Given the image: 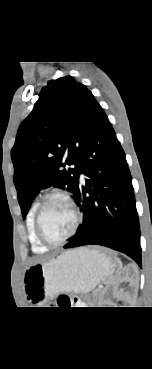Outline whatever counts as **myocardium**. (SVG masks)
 I'll return each mask as SVG.
<instances>
[{
    "instance_id": "1",
    "label": "myocardium",
    "mask_w": 152,
    "mask_h": 369,
    "mask_svg": "<svg viewBox=\"0 0 152 369\" xmlns=\"http://www.w3.org/2000/svg\"><path fill=\"white\" fill-rule=\"evenodd\" d=\"M53 199H61L63 201H65L72 209L73 213H74V225L72 230L70 231V233L68 235H66L65 237H63L60 240L57 241H51L49 240L43 230H42V226H41V218H42V214L43 211L45 209V207L48 205V203L53 200ZM82 223V213L79 209V207L77 206L76 202L74 201V199L67 193L65 192H52L48 195H46L44 197V199L41 201V203L38 205L36 214H35V232L37 235L38 240L45 245L46 247H57L62 245L63 243H65L67 240H69L70 238H72L76 232L78 231L80 225Z\"/></svg>"
}]
</instances>
